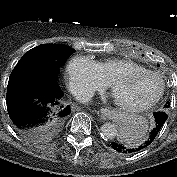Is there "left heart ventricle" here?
I'll list each match as a JSON object with an SVG mask.
<instances>
[{
	"instance_id": "b2bd125f",
	"label": "left heart ventricle",
	"mask_w": 177,
	"mask_h": 177,
	"mask_svg": "<svg viewBox=\"0 0 177 177\" xmlns=\"http://www.w3.org/2000/svg\"><path fill=\"white\" fill-rule=\"evenodd\" d=\"M156 77L143 75L121 82L114 90V98L125 105H139L151 100L159 91Z\"/></svg>"
}]
</instances>
